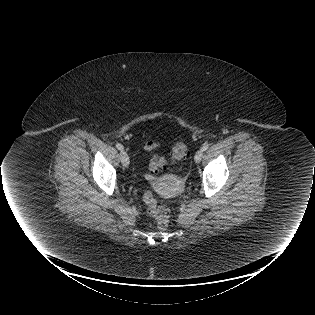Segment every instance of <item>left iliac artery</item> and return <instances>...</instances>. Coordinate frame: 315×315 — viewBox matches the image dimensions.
I'll return each instance as SVG.
<instances>
[{
    "label": "left iliac artery",
    "mask_w": 315,
    "mask_h": 315,
    "mask_svg": "<svg viewBox=\"0 0 315 315\" xmlns=\"http://www.w3.org/2000/svg\"><path fill=\"white\" fill-rule=\"evenodd\" d=\"M208 147H209V144L208 143H205L203 146H202V150L203 151H205V150H207L208 149Z\"/></svg>",
    "instance_id": "44dca946"
}]
</instances>
